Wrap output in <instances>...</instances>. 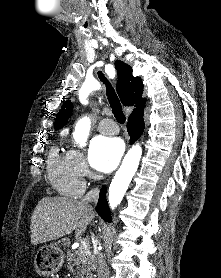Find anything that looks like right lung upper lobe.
<instances>
[{"label": "right lung upper lobe", "mask_w": 221, "mask_h": 278, "mask_svg": "<svg viewBox=\"0 0 221 278\" xmlns=\"http://www.w3.org/2000/svg\"><path fill=\"white\" fill-rule=\"evenodd\" d=\"M116 69L118 73L117 93L121 102L126 106L136 105V109L129 118L142 117L144 114L143 107L146 99H142L143 83L141 78L132 75V68L124 62L117 60ZM72 115V103L70 100L64 102L61 110L56 116L54 128L58 130L62 128L69 117ZM128 118V119H129Z\"/></svg>", "instance_id": "right-lung-upper-lobe-1"}]
</instances>
